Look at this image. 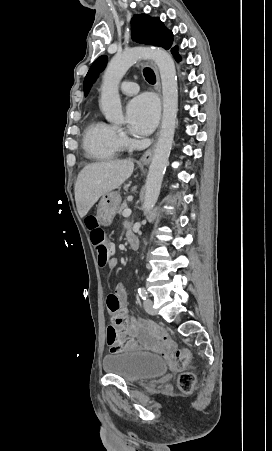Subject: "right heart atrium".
I'll list each match as a JSON object with an SVG mask.
<instances>
[{"label":"right heart atrium","instance_id":"right-heart-atrium-1","mask_svg":"<svg viewBox=\"0 0 272 451\" xmlns=\"http://www.w3.org/2000/svg\"><path fill=\"white\" fill-rule=\"evenodd\" d=\"M112 129L115 133V136L119 142H122L125 139V133L119 126H112Z\"/></svg>","mask_w":272,"mask_h":451}]
</instances>
